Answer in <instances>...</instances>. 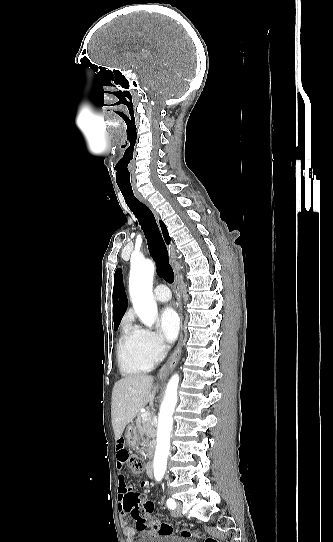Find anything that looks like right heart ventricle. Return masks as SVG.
<instances>
[{
    "mask_svg": "<svg viewBox=\"0 0 333 542\" xmlns=\"http://www.w3.org/2000/svg\"><path fill=\"white\" fill-rule=\"evenodd\" d=\"M136 326L129 324L120 337L118 356L124 374H138L151 370L157 363V356L149 352L136 337Z\"/></svg>",
    "mask_w": 333,
    "mask_h": 542,
    "instance_id": "1",
    "label": "right heart ventricle"
}]
</instances>
